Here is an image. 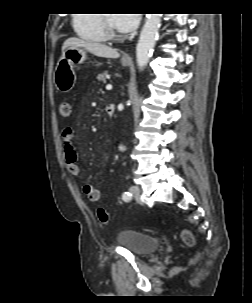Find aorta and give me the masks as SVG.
<instances>
[{
	"label": "aorta",
	"mask_w": 252,
	"mask_h": 303,
	"mask_svg": "<svg viewBox=\"0 0 252 303\" xmlns=\"http://www.w3.org/2000/svg\"><path fill=\"white\" fill-rule=\"evenodd\" d=\"M160 23L161 14H147L136 46V61L140 70L149 62L158 37ZM119 150L124 151V147L119 146Z\"/></svg>",
	"instance_id": "obj_1"
}]
</instances>
